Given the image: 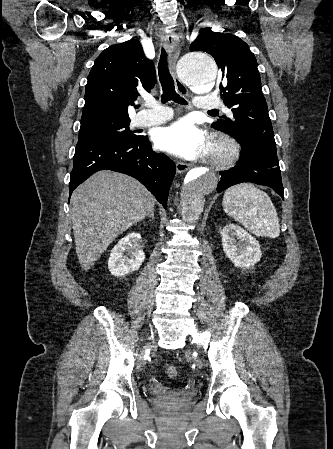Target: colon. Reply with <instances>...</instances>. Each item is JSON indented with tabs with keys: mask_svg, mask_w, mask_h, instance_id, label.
I'll return each mask as SVG.
<instances>
[{
	"mask_svg": "<svg viewBox=\"0 0 333 449\" xmlns=\"http://www.w3.org/2000/svg\"><path fill=\"white\" fill-rule=\"evenodd\" d=\"M165 374L168 378H175L178 374V370L175 366H168L165 370Z\"/></svg>",
	"mask_w": 333,
	"mask_h": 449,
	"instance_id": "colon-1",
	"label": "colon"
}]
</instances>
